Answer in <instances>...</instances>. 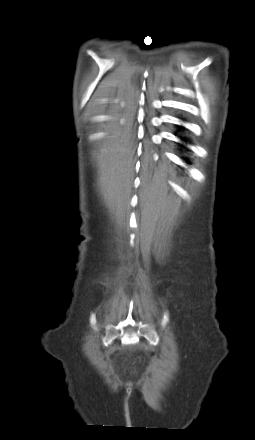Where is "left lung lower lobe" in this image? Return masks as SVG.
<instances>
[{"mask_svg": "<svg viewBox=\"0 0 255 440\" xmlns=\"http://www.w3.org/2000/svg\"><path fill=\"white\" fill-rule=\"evenodd\" d=\"M183 129H184V128H183L182 126H180V127L178 128V132H181ZM181 139H182V141H184L185 143L188 142V140H187L186 138H184V137H181ZM181 147L184 148L183 145H181ZM183 159L186 161V163L190 164L189 159H187V158H183Z\"/></svg>", "mask_w": 255, "mask_h": 440, "instance_id": "0a47b994", "label": "left lung lower lobe"}]
</instances>
